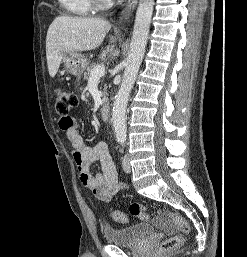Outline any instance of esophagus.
Here are the masks:
<instances>
[{
  "label": "esophagus",
  "instance_id": "34e87169",
  "mask_svg": "<svg viewBox=\"0 0 247 257\" xmlns=\"http://www.w3.org/2000/svg\"><path fill=\"white\" fill-rule=\"evenodd\" d=\"M138 0H128L123 11H122V17L120 21L119 28H124L125 25L129 22L133 11L137 5Z\"/></svg>",
  "mask_w": 247,
  "mask_h": 257
}]
</instances>
